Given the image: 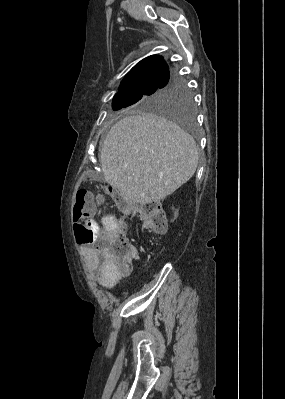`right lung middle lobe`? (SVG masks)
<instances>
[{
  "mask_svg": "<svg viewBox=\"0 0 285 399\" xmlns=\"http://www.w3.org/2000/svg\"><path fill=\"white\" fill-rule=\"evenodd\" d=\"M112 104L114 110L132 106L133 109L147 110L169 116L189 130L193 127L194 104L192 94L180 78L161 84L158 88L116 94Z\"/></svg>",
  "mask_w": 285,
  "mask_h": 399,
  "instance_id": "1",
  "label": "right lung middle lobe"
}]
</instances>
